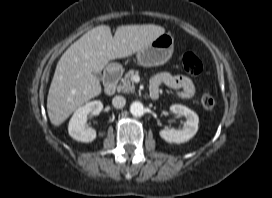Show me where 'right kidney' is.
<instances>
[{"label":"right kidney","mask_w":272,"mask_h":198,"mask_svg":"<svg viewBox=\"0 0 272 198\" xmlns=\"http://www.w3.org/2000/svg\"><path fill=\"white\" fill-rule=\"evenodd\" d=\"M103 109V103L99 100L86 103L84 106L79 107L70 119L68 132L69 135L81 142H92L96 136V131L91 127H86L87 116L99 115ZM100 136H104V133H99Z\"/></svg>","instance_id":"1"}]
</instances>
